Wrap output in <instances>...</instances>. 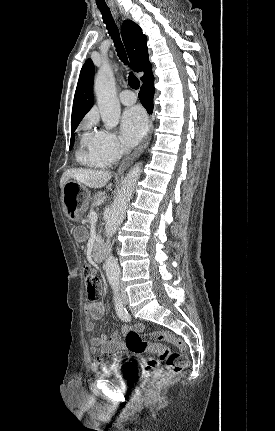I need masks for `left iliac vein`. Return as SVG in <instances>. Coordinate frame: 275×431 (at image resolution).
I'll return each instance as SVG.
<instances>
[{
  "label": "left iliac vein",
  "mask_w": 275,
  "mask_h": 431,
  "mask_svg": "<svg viewBox=\"0 0 275 431\" xmlns=\"http://www.w3.org/2000/svg\"><path fill=\"white\" fill-rule=\"evenodd\" d=\"M121 297H122L123 303L127 304L128 303V295H127V293L126 292H122Z\"/></svg>",
  "instance_id": "obj_1"
}]
</instances>
